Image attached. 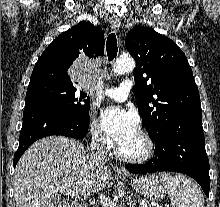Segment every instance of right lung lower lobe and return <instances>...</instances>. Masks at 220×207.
Wrapping results in <instances>:
<instances>
[{
  "label": "right lung lower lobe",
  "instance_id": "obj_1",
  "mask_svg": "<svg viewBox=\"0 0 220 207\" xmlns=\"http://www.w3.org/2000/svg\"><path fill=\"white\" fill-rule=\"evenodd\" d=\"M88 127L89 117H76L42 105L25 107L19 147L14 155V167L34 141L50 135L81 139L87 135Z\"/></svg>",
  "mask_w": 220,
  "mask_h": 207
}]
</instances>
